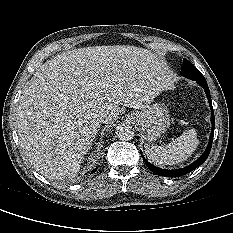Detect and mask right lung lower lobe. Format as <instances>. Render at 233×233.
<instances>
[{
	"instance_id": "right-lung-lower-lobe-1",
	"label": "right lung lower lobe",
	"mask_w": 233,
	"mask_h": 233,
	"mask_svg": "<svg viewBox=\"0 0 233 233\" xmlns=\"http://www.w3.org/2000/svg\"><path fill=\"white\" fill-rule=\"evenodd\" d=\"M97 169V168H96ZM96 169H94L91 173H94L96 171Z\"/></svg>"
}]
</instances>
